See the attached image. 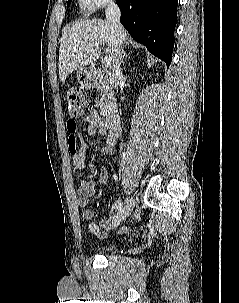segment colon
Here are the masks:
<instances>
[{
  "instance_id": "1",
  "label": "colon",
  "mask_w": 239,
  "mask_h": 303,
  "mask_svg": "<svg viewBox=\"0 0 239 303\" xmlns=\"http://www.w3.org/2000/svg\"><path fill=\"white\" fill-rule=\"evenodd\" d=\"M68 113L71 119L67 126L71 132L75 131V119L88 115L91 111L89 100L77 88L70 89L67 92Z\"/></svg>"
}]
</instances>
